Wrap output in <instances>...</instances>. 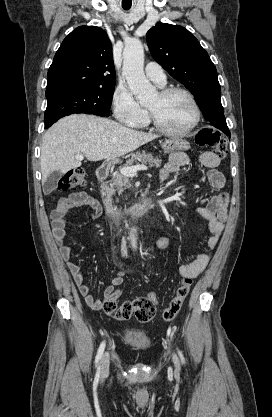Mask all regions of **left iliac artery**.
I'll use <instances>...</instances> for the list:
<instances>
[{
    "mask_svg": "<svg viewBox=\"0 0 272 417\" xmlns=\"http://www.w3.org/2000/svg\"><path fill=\"white\" fill-rule=\"evenodd\" d=\"M178 354H179V356H180V358H181V361H182L183 363H185V358H184V356H183V354H182V352H181L180 350H178Z\"/></svg>",
    "mask_w": 272,
    "mask_h": 417,
    "instance_id": "1",
    "label": "left iliac artery"
}]
</instances>
